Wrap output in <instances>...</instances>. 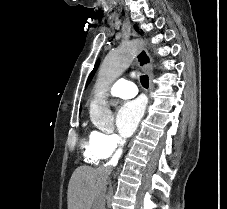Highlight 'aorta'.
Instances as JSON below:
<instances>
[{
  "label": "aorta",
  "mask_w": 227,
  "mask_h": 209,
  "mask_svg": "<svg viewBox=\"0 0 227 209\" xmlns=\"http://www.w3.org/2000/svg\"><path fill=\"white\" fill-rule=\"evenodd\" d=\"M141 45V41L126 42L105 57L96 81V97L90 104L92 120H96L100 115L110 113L105 105V94L113 81L130 66Z\"/></svg>",
  "instance_id": "1"
}]
</instances>
